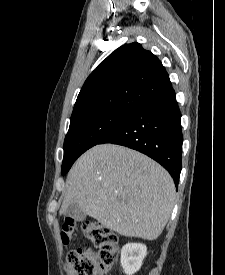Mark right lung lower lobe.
<instances>
[{
    "label": "right lung lower lobe",
    "mask_w": 225,
    "mask_h": 275,
    "mask_svg": "<svg viewBox=\"0 0 225 275\" xmlns=\"http://www.w3.org/2000/svg\"><path fill=\"white\" fill-rule=\"evenodd\" d=\"M175 95L172 92L132 110L98 144H118L146 154L160 163L178 186L182 130Z\"/></svg>",
    "instance_id": "obj_1"
}]
</instances>
